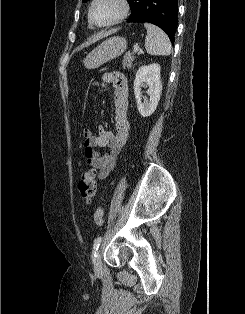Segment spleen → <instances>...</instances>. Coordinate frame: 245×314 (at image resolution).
I'll use <instances>...</instances> for the list:
<instances>
[{
    "label": "spleen",
    "mask_w": 245,
    "mask_h": 314,
    "mask_svg": "<svg viewBox=\"0 0 245 314\" xmlns=\"http://www.w3.org/2000/svg\"><path fill=\"white\" fill-rule=\"evenodd\" d=\"M147 30V35L145 38V49L150 55H162L168 56L171 53V42L166 35V33L159 27L144 23Z\"/></svg>",
    "instance_id": "spleen-1"
}]
</instances>
